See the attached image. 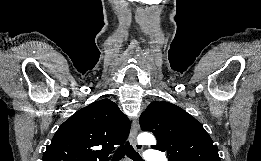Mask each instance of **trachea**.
Instances as JSON below:
<instances>
[{
	"label": "trachea",
	"mask_w": 261,
	"mask_h": 161,
	"mask_svg": "<svg viewBox=\"0 0 261 161\" xmlns=\"http://www.w3.org/2000/svg\"><path fill=\"white\" fill-rule=\"evenodd\" d=\"M127 155L133 161H143L141 156L134 150L132 145L129 142H126L117 150L113 156V161H119L122 157Z\"/></svg>",
	"instance_id": "3493384b"
}]
</instances>
